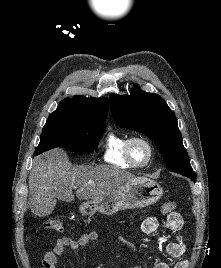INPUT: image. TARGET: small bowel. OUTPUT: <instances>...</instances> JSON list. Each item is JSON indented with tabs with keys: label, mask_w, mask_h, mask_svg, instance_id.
I'll return each instance as SVG.
<instances>
[{
	"label": "small bowel",
	"mask_w": 221,
	"mask_h": 268,
	"mask_svg": "<svg viewBox=\"0 0 221 268\" xmlns=\"http://www.w3.org/2000/svg\"><path fill=\"white\" fill-rule=\"evenodd\" d=\"M184 221L178 213H172L166 217V219L161 222L155 217H148L144 219L141 223V230L145 234H153L160 227L177 232L182 229ZM98 239V233L95 231H90L82 234L77 239H72L69 237H62L57 240L55 245L47 250L42 258V265L44 268H58L59 257L64 253L66 249L76 250L80 247H84L91 242ZM121 242L128 246L130 249L135 250L133 243L129 242L127 239L121 237ZM186 252V246L182 242H168L165 245V253L170 258H179L183 256ZM138 268V267H135ZM153 268H170L169 265L164 261H158ZM174 268H188V262L182 260L176 263Z\"/></svg>",
	"instance_id": "1"
}]
</instances>
